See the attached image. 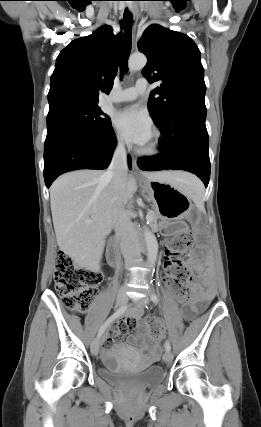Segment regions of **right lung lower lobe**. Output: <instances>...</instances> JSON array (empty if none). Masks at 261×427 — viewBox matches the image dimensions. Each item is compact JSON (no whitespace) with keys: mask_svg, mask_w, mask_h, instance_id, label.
<instances>
[{"mask_svg":"<svg viewBox=\"0 0 261 427\" xmlns=\"http://www.w3.org/2000/svg\"><path fill=\"white\" fill-rule=\"evenodd\" d=\"M115 145L112 126L98 132L72 126L47 130L44 145V179L47 188L63 173L107 168ZM128 161L131 166L130 158Z\"/></svg>","mask_w":261,"mask_h":427,"instance_id":"1","label":"right lung lower lobe"}]
</instances>
